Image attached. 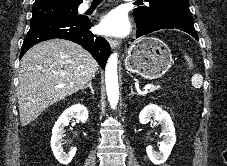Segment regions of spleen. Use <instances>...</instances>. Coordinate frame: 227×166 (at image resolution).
<instances>
[{"mask_svg":"<svg viewBox=\"0 0 227 166\" xmlns=\"http://www.w3.org/2000/svg\"><path fill=\"white\" fill-rule=\"evenodd\" d=\"M192 85L199 89L203 84V77L200 74H194L191 79Z\"/></svg>","mask_w":227,"mask_h":166,"instance_id":"obj_1","label":"spleen"}]
</instances>
